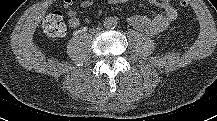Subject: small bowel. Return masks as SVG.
Returning <instances> with one entry per match:
<instances>
[{"mask_svg":"<svg viewBox=\"0 0 217 121\" xmlns=\"http://www.w3.org/2000/svg\"><path fill=\"white\" fill-rule=\"evenodd\" d=\"M96 0H84L81 5L84 8L89 7ZM109 4L123 3L128 0H107ZM149 2L156 4L161 10L162 14H159L154 19H149L142 15H134L129 18V22L136 28L145 31L147 33H155L164 29L176 18V10L171 4L170 0H148ZM74 0H63L64 8L67 10L69 18V25L72 28H76L80 24L77 12L73 7Z\"/></svg>","mask_w":217,"mask_h":121,"instance_id":"obj_1","label":"small bowel"}]
</instances>
